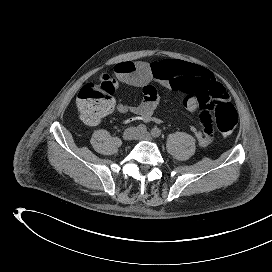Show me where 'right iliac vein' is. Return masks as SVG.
I'll return each instance as SVG.
<instances>
[{
  "label": "right iliac vein",
  "mask_w": 272,
  "mask_h": 272,
  "mask_svg": "<svg viewBox=\"0 0 272 272\" xmlns=\"http://www.w3.org/2000/svg\"><path fill=\"white\" fill-rule=\"evenodd\" d=\"M137 129L134 127H130L128 129L125 130L124 134H123V138L126 141H130L136 138L137 136Z\"/></svg>",
  "instance_id": "obj_1"
}]
</instances>
